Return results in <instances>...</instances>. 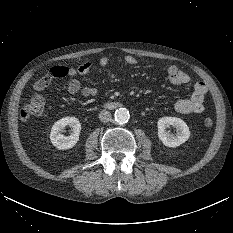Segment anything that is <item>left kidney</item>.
Wrapping results in <instances>:
<instances>
[{
  "label": "left kidney",
  "instance_id": "obj_1",
  "mask_svg": "<svg viewBox=\"0 0 233 233\" xmlns=\"http://www.w3.org/2000/svg\"><path fill=\"white\" fill-rule=\"evenodd\" d=\"M173 126L177 134H171L166 131V128ZM158 137L161 142L167 147H178L188 140L190 131L187 124L177 117H162L157 122Z\"/></svg>",
  "mask_w": 233,
  "mask_h": 233
}]
</instances>
